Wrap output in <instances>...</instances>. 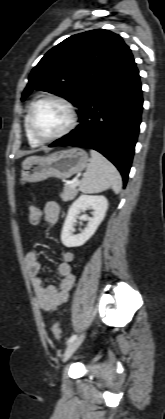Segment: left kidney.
<instances>
[{"label":"left kidney","instance_id":"left-kidney-1","mask_svg":"<svg viewBox=\"0 0 165 419\" xmlns=\"http://www.w3.org/2000/svg\"><path fill=\"white\" fill-rule=\"evenodd\" d=\"M88 208L93 210L92 217L82 215L78 217L81 211H85ZM108 209V200L105 196L101 195H81L77 200L73 202L68 210L67 217L65 219L62 232L61 241L66 247H78L82 246L87 240H89L98 226L101 224L105 217V213ZM77 218L87 220L88 224L85 229L77 234L73 235L74 223Z\"/></svg>","mask_w":165,"mask_h":419}]
</instances>
